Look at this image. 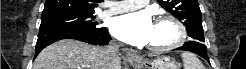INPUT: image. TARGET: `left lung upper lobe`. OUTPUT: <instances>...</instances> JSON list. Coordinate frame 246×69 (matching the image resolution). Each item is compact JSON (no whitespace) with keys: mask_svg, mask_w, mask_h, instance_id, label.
<instances>
[{"mask_svg":"<svg viewBox=\"0 0 246 69\" xmlns=\"http://www.w3.org/2000/svg\"><path fill=\"white\" fill-rule=\"evenodd\" d=\"M160 5L186 26L193 41L203 43L201 11L197 0H157Z\"/></svg>","mask_w":246,"mask_h":69,"instance_id":"left-lung-upper-lobe-1","label":"left lung upper lobe"}]
</instances>
